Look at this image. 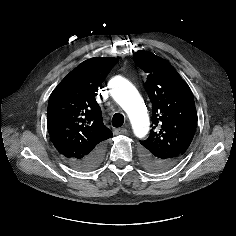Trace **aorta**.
I'll use <instances>...</instances> for the list:
<instances>
[{"label": "aorta", "mask_w": 236, "mask_h": 236, "mask_svg": "<svg viewBox=\"0 0 236 236\" xmlns=\"http://www.w3.org/2000/svg\"><path fill=\"white\" fill-rule=\"evenodd\" d=\"M114 100L126 112L137 138H143L149 131V115L145 103L135 86L127 79L116 76L109 82Z\"/></svg>", "instance_id": "obj_1"}]
</instances>
